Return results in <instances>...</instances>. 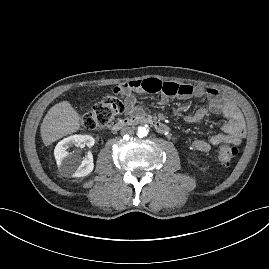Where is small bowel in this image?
I'll return each instance as SVG.
<instances>
[{"label":"small bowel","mask_w":269,"mask_h":269,"mask_svg":"<svg viewBox=\"0 0 269 269\" xmlns=\"http://www.w3.org/2000/svg\"><path fill=\"white\" fill-rule=\"evenodd\" d=\"M120 90L126 93L125 112L130 115L141 113L134 93H161L160 105L168 103L172 97L188 99L191 97H206L208 106L200 108L193 115L187 117L190 123L201 124L208 113L222 114L227 118V122L222 125L221 132L208 136L207 138L195 139L192 143L194 150L199 152L208 151L212 145L223 142L240 144L246 135L245 122L240 110L215 88H205L203 86H193L188 84H177L173 82H163L156 78L145 80H132L122 84Z\"/></svg>","instance_id":"1"}]
</instances>
